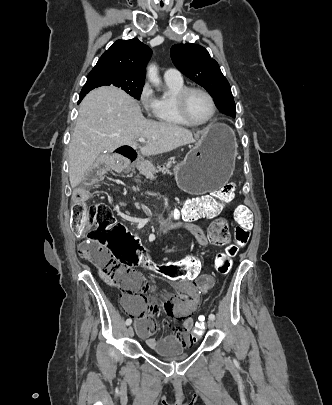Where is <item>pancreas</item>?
<instances>
[{
  "instance_id": "cf45deb5",
  "label": "pancreas",
  "mask_w": 332,
  "mask_h": 405,
  "mask_svg": "<svg viewBox=\"0 0 332 405\" xmlns=\"http://www.w3.org/2000/svg\"><path fill=\"white\" fill-rule=\"evenodd\" d=\"M172 161H169L167 163H165L162 167L161 166H157V168H153V172H162L163 174H168V175H172V172L170 171V168L172 166Z\"/></svg>"
}]
</instances>
